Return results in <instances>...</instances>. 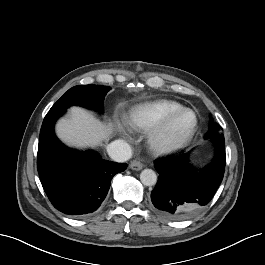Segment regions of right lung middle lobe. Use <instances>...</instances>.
I'll use <instances>...</instances> for the list:
<instances>
[{
    "label": "right lung middle lobe",
    "instance_id": "right-lung-middle-lobe-1",
    "mask_svg": "<svg viewBox=\"0 0 265 265\" xmlns=\"http://www.w3.org/2000/svg\"><path fill=\"white\" fill-rule=\"evenodd\" d=\"M110 87L100 85H78L69 89L50 109L66 110L71 105L102 110L103 100Z\"/></svg>",
    "mask_w": 265,
    "mask_h": 265
}]
</instances>
